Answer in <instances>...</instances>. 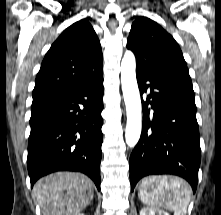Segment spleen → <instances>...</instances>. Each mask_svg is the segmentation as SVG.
Masks as SVG:
<instances>
[{
  "label": "spleen",
  "instance_id": "1",
  "mask_svg": "<svg viewBox=\"0 0 221 215\" xmlns=\"http://www.w3.org/2000/svg\"><path fill=\"white\" fill-rule=\"evenodd\" d=\"M138 195L151 208H163L174 211V215H186L191 190L181 178L151 176L143 180Z\"/></svg>",
  "mask_w": 221,
  "mask_h": 215
}]
</instances>
